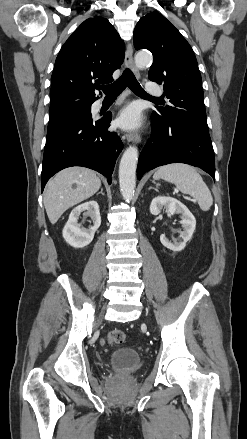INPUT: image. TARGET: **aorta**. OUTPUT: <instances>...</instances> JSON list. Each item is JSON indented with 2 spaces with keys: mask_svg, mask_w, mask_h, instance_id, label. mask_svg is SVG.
I'll use <instances>...</instances> for the list:
<instances>
[{
  "mask_svg": "<svg viewBox=\"0 0 247 439\" xmlns=\"http://www.w3.org/2000/svg\"><path fill=\"white\" fill-rule=\"evenodd\" d=\"M152 55L139 52L135 56V65L139 69L152 62ZM138 162V149L136 146H129L124 151L119 164V184L121 194L126 202H130L135 194L136 168Z\"/></svg>",
  "mask_w": 247,
  "mask_h": 439,
  "instance_id": "762f6f07",
  "label": "aorta"
}]
</instances>
